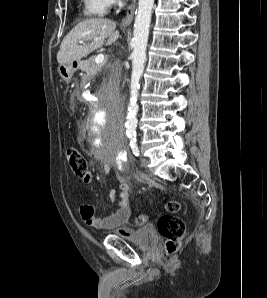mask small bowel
Segmentation results:
<instances>
[{"instance_id": "1", "label": "small bowel", "mask_w": 267, "mask_h": 298, "mask_svg": "<svg viewBox=\"0 0 267 298\" xmlns=\"http://www.w3.org/2000/svg\"><path fill=\"white\" fill-rule=\"evenodd\" d=\"M117 181L119 183V208L111 215L98 217L95 215V209L91 204H83L79 208V214L84 223L95 229L99 230H112L118 229V232L122 235L128 236L131 234V230L125 227L130 216L129 209V191L130 187L120 171H117ZM85 184L92 182V175L89 173L87 179L83 180ZM117 194L115 190H110L108 193L109 202H115Z\"/></svg>"}]
</instances>
